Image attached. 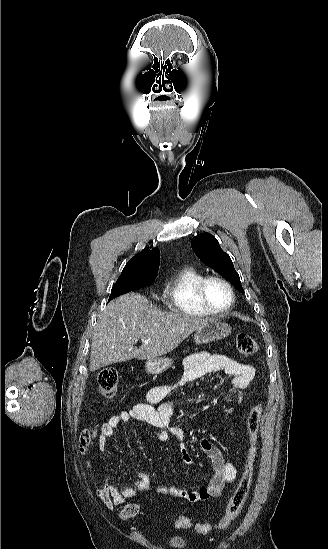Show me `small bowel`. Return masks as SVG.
Segmentation results:
<instances>
[{
	"mask_svg": "<svg viewBox=\"0 0 328 549\" xmlns=\"http://www.w3.org/2000/svg\"><path fill=\"white\" fill-rule=\"evenodd\" d=\"M184 371L181 377L173 384H164L153 387L146 395L143 402L136 403L128 410H123L112 415L101 427L98 439V448L104 452L107 442L114 436L120 424H130L133 421L144 423L156 429L157 437L163 442L172 439L178 440V449L182 461L186 465H192L193 459L181 438V430L170 422L178 401H165L173 389L193 382L207 374L219 371L232 377L231 388L236 392L237 403L243 399V392L248 388L255 376V369L250 364L240 363L226 355L210 352L191 354L184 359ZM197 398L194 402H200ZM156 404L159 406L155 407ZM201 450L209 457L213 467V475L209 483L195 490H188L176 486L161 484L159 491L167 493L190 503L204 501L220 496L225 485L235 480L237 469L235 465L224 459L220 450L209 440L202 439L199 443ZM134 486H121L112 477L104 480L100 496L103 505L111 510L115 506L126 504L128 499L137 496L138 491L150 490L153 477L144 472L136 473Z\"/></svg>",
	"mask_w": 328,
	"mask_h": 549,
	"instance_id": "small-bowel-1",
	"label": "small bowel"
}]
</instances>
